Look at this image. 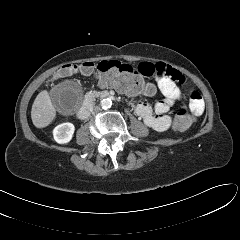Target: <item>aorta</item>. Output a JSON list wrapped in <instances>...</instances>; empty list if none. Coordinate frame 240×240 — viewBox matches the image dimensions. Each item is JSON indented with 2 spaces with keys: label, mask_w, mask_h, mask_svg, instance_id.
<instances>
[{
  "label": "aorta",
  "mask_w": 240,
  "mask_h": 240,
  "mask_svg": "<svg viewBox=\"0 0 240 240\" xmlns=\"http://www.w3.org/2000/svg\"><path fill=\"white\" fill-rule=\"evenodd\" d=\"M100 106L102 109H108L112 106V100L110 98L102 99L100 102Z\"/></svg>",
  "instance_id": "762f6f07"
}]
</instances>
